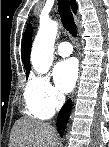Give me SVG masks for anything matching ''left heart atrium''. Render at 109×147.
<instances>
[{
  "mask_svg": "<svg viewBox=\"0 0 109 147\" xmlns=\"http://www.w3.org/2000/svg\"><path fill=\"white\" fill-rule=\"evenodd\" d=\"M78 76L75 60L67 59L59 62L53 70V79L56 87L63 93H68L74 87Z\"/></svg>",
  "mask_w": 109,
  "mask_h": 147,
  "instance_id": "obj_1",
  "label": "left heart atrium"
}]
</instances>
